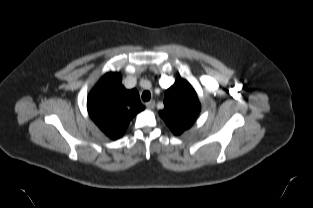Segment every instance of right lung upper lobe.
<instances>
[{"mask_svg":"<svg viewBox=\"0 0 313 208\" xmlns=\"http://www.w3.org/2000/svg\"><path fill=\"white\" fill-rule=\"evenodd\" d=\"M144 109L137 90H127L117 72L106 73L87 99L91 119L112 140L122 137L132 118Z\"/></svg>","mask_w":313,"mask_h":208,"instance_id":"right-lung-upper-lobe-1","label":"right lung upper lobe"}]
</instances>
